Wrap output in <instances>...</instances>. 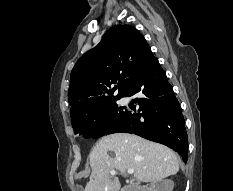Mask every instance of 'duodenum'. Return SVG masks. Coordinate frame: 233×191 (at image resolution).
<instances>
[{
  "mask_svg": "<svg viewBox=\"0 0 233 191\" xmlns=\"http://www.w3.org/2000/svg\"><path fill=\"white\" fill-rule=\"evenodd\" d=\"M125 191H142L140 187L130 186L125 189Z\"/></svg>",
  "mask_w": 233,
  "mask_h": 191,
  "instance_id": "obj_1",
  "label": "duodenum"
}]
</instances>
